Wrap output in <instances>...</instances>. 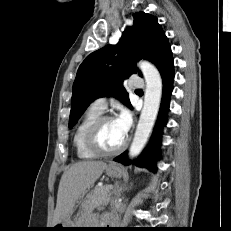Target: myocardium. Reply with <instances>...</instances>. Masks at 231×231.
<instances>
[{
    "label": "myocardium",
    "instance_id": "f54148a6",
    "mask_svg": "<svg viewBox=\"0 0 231 231\" xmlns=\"http://www.w3.org/2000/svg\"><path fill=\"white\" fill-rule=\"evenodd\" d=\"M114 120L112 116L109 115H101L99 116L88 128L85 141L86 145L93 153L99 156H113L122 152L129 143V138L126 137L123 143L112 150L104 149L99 143V132L103 126V124L107 121Z\"/></svg>",
    "mask_w": 231,
    "mask_h": 231
}]
</instances>
